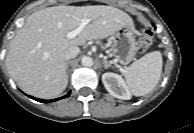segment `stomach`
<instances>
[{"instance_id": "stomach-1", "label": "stomach", "mask_w": 194, "mask_h": 133, "mask_svg": "<svg viewBox=\"0 0 194 133\" xmlns=\"http://www.w3.org/2000/svg\"><path fill=\"white\" fill-rule=\"evenodd\" d=\"M136 31L134 26L125 25L112 35L110 51L115 62L126 65L135 57L137 52Z\"/></svg>"}]
</instances>
